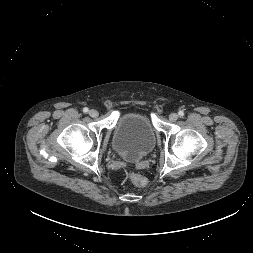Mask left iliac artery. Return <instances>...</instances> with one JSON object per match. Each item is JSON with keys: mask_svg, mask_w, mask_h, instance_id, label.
Here are the masks:
<instances>
[{"mask_svg": "<svg viewBox=\"0 0 253 253\" xmlns=\"http://www.w3.org/2000/svg\"><path fill=\"white\" fill-rule=\"evenodd\" d=\"M178 115H179L180 117H183V116H184V112H183V111H179V112H178Z\"/></svg>", "mask_w": 253, "mask_h": 253, "instance_id": "left-iliac-artery-1", "label": "left iliac artery"}]
</instances>
